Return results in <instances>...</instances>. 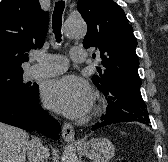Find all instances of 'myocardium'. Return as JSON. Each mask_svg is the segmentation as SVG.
Returning a JSON list of instances; mask_svg holds the SVG:
<instances>
[{
	"label": "myocardium",
	"instance_id": "f54148a6",
	"mask_svg": "<svg viewBox=\"0 0 168 162\" xmlns=\"http://www.w3.org/2000/svg\"><path fill=\"white\" fill-rule=\"evenodd\" d=\"M95 113H98L100 111V107L99 106H96L95 109H94Z\"/></svg>",
	"mask_w": 168,
	"mask_h": 162
}]
</instances>
